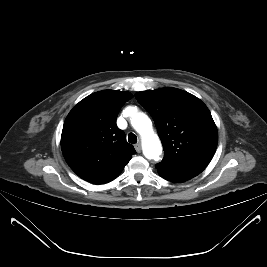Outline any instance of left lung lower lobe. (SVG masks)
<instances>
[{"label": "left lung lower lobe", "instance_id": "left-lung-lower-lobe-1", "mask_svg": "<svg viewBox=\"0 0 267 267\" xmlns=\"http://www.w3.org/2000/svg\"><path fill=\"white\" fill-rule=\"evenodd\" d=\"M156 168L161 177L172 182H185L194 177L187 173L163 166L161 164H157Z\"/></svg>", "mask_w": 267, "mask_h": 267}]
</instances>
